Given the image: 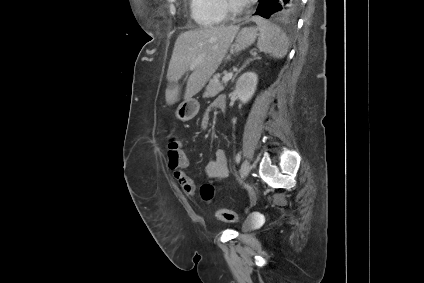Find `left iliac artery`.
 <instances>
[{
    "mask_svg": "<svg viewBox=\"0 0 424 283\" xmlns=\"http://www.w3.org/2000/svg\"><path fill=\"white\" fill-rule=\"evenodd\" d=\"M240 160H241V155H240V153H237V155H236V162L239 163Z\"/></svg>",
    "mask_w": 424,
    "mask_h": 283,
    "instance_id": "44dca946",
    "label": "left iliac artery"
}]
</instances>
